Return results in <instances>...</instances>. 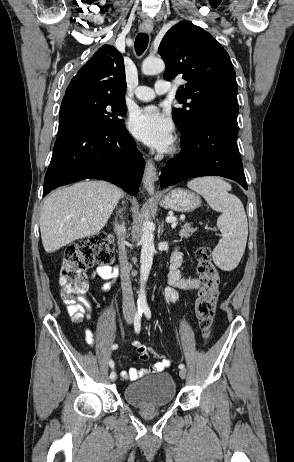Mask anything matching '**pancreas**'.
Returning a JSON list of instances; mask_svg holds the SVG:
<instances>
[{"mask_svg":"<svg viewBox=\"0 0 294 462\" xmlns=\"http://www.w3.org/2000/svg\"><path fill=\"white\" fill-rule=\"evenodd\" d=\"M195 232V229L191 227L190 224H184L182 227H181V230L179 232V235L181 237H189L191 234H193Z\"/></svg>","mask_w":294,"mask_h":462,"instance_id":"pancreas-1","label":"pancreas"}]
</instances>
